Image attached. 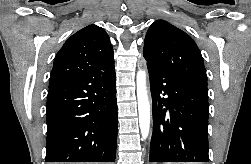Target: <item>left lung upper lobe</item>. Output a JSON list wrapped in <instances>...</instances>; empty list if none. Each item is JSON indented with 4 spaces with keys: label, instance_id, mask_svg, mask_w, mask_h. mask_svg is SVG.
<instances>
[{
    "label": "left lung upper lobe",
    "instance_id": "1",
    "mask_svg": "<svg viewBox=\"0 0 251 164\" xmlns=\"http://www.w3.org/2000/svg\"><path fill=\"white\" fill-rule=\"evenodd\" d=\"M147 65L175 72L207 85L203 58L194 40L172 24L158 20L145 37Z\"/></svg>",
    "mask_w": 251,
    "mask_h": 164
}]
</instances>
